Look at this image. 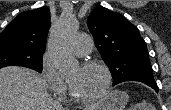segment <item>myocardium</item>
Returning a JSON list of instances; mask_svg holds the SVG:
<instances>
[{
    "mask_svg": "<svg viewBox=\"0 0 171 110\" xmlns=\"http://www.w3.org/2000/svg\"><path fill=\"white\" fill-rule=\"evenodd\" d=\"M81 68H83V69H89V68L100 69L103 72L104 77H105L104 85L98 94L91 96V97H81L75 93L71 84L68 83L69 94H70L71 99L80 104H90V103H93V102H96V101L102 99L108 93L110 86L112 84V73H111L109 67L99 61H86L82 64Z\"/></svg>",
    "mask_w": 171,
    "mask_h": 110,
    "instance_id": "myocardium-1",
    "label": "myocardium"
}]
</instances>
